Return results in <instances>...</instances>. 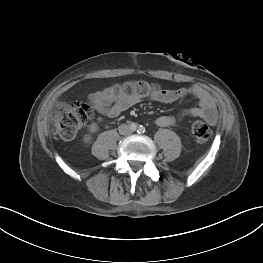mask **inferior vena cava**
<instances>
[{"label": "inferior vena cava", "mask_w": 263, "mask_h": 263, "mask_svg": "<svg viewBox=\"0 0 263 263\" xmlns=\"http://www.w3.org/2000/svg\"><path fill=\"white\" fill-rule=\"evenodd\" d=\"M119 133L122 135L128 134L131 132V130L129 129V126H127L126 124H122L118 127Z\"/></svg>", "instance_id": "1"}]
</instances>
